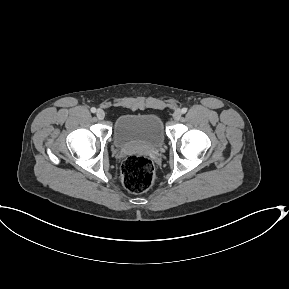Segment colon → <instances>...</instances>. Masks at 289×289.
I'll return each mask as SVG.
<instances>
[{
    "mask_svg": "<svg viewBox=\"0 0 289 289\" xmlns=\"http://www.w3.org/2000/svg\"><path fill=\"white\" fill-rule=\"evenodd\" d=\"M121 177L123 185L128 191L133 193L144 192L153 183V164L143 155H131L122 164Z\"/></svg>",
    "mask_w": 289,
    "mask_h": 289,
    "instance_id": "colon-1",
    "label": "colon"
}]
</instances>
